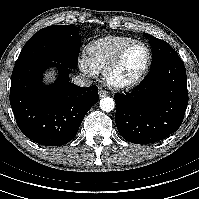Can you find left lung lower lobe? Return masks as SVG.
<instances>
[{
  "mask_svg": "<svg viewBox=\"0 0 199 199\" xmlns=\"http://www.w3.org/2000/svg\"><path fill=\"white\" fill-rule=\"evenodd\" d=\"M114 99L115 122L125 140L135 144L163 140L180 127L188 104L183 61L178 55L160 61L136 90Z\"/></svg>",
  "mask_w": 199,
  "mask_h": 199,
  "instance_id": "1",
  "label": "left lung lower lobe"
}]
</instances>
